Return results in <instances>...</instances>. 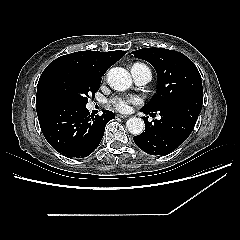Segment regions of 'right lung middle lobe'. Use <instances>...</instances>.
<instances>
[{
    "instance_id": "1",
    "label": "right lung middle lobe",
    "mask_w": 240,
    "mask_h": 240,
    "mask_svg": "<svg viewBox=\"0 0 240 240\" xmlns=\"http://www.w3.org/2000/svg\"><path fill=\"white\" fill-rule=\"evenodd\" d=\"M101 79L85 76L72 68L60 67L51 71L38 87L41 106L57 105L86 107L90 95L99 89Z\"/></svg>"
}]
</instances>
